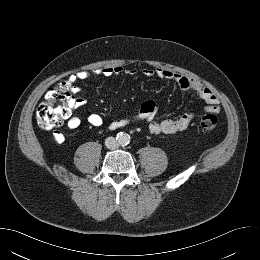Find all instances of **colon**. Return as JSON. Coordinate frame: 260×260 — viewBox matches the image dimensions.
Returning <instances> with one entry per match:
<instances>
[{
  "mask_svg": "<svg viewBox=\"0 0 260 260\" xmlns=\"http://www.w3.org/2000/svg\"><path fill=\"white\" fill-rule=\"evenodd\" d=\"M72 86L62 81L52 87L36 110V121L42 129H54L61 126L69 112L70 104L74 100ZM218 124L214 112L203 114L199 117V125L204 131H213Z\"/></svg>",
  "mask_w": 260,
  "mask_h": 260,
  "instance_id": "5ec220e1",
  "label": "colon"
}]
</instances>
